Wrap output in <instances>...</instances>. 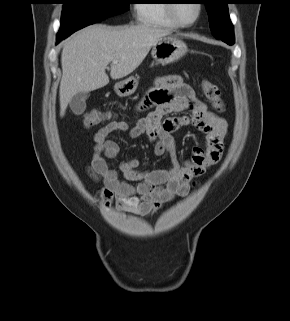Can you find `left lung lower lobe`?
<instances>
[{"mask_svg":"<svg viewBox=\"0 0 290 321\" xmlns=\"http://www.w3.org/2000/svg\"><path fill=\"white\" fill-rule=\"evenodd\" d=\"M222 40L223 42L227 43L228 45H233L235 40L234 38H230V39H220Z\"/></svg>","mask_w":290,"mask_h":321,"instance_id":"0a47b994","label":"left lung lower lobe"}]
</instances>
